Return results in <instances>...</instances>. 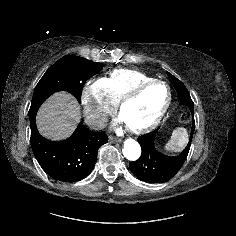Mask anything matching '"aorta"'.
Here are the masks:
<instances>
[{
  "mask_svg": "<svg viewBox=\"0 0 236 236\" xmlns=\"http://www.w3.org/2000/svg\"><path fill=\"white\" fill-rule=\"evenodd\" d=\"M122 152L125 158L130 161H135L141 155V147L137 141L128 138L124 141Z\"/></svg>",
  "mask_w": 236,
  "mask_h": 236,
  "instance_id": "aorta-1",
  "label": "aorta"
}]
</instances>
